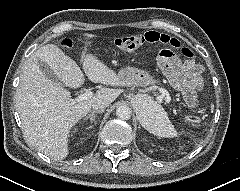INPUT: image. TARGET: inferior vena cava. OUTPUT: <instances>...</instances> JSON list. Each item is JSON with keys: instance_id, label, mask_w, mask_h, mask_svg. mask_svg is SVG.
Masks as SVG:
<instances>
[{"instance_id": "602c4592", "label": "inferior vena cava", "mask_w": 240, "mask_h": 191, "mask_svg": "<svg viewBox=\"0 0 240 191\" xmlns=\"http://www.w3.org/2000/svg\"><path fill=\"white\" fill-rule=\"evenodd\" d=\"M109 105L110 102L107 100H97L92 104V108L94 111H103Z\"/></svg>"}]
</instances>
